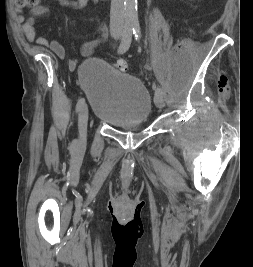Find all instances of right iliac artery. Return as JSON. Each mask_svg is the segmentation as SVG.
<instances>
[{
  "label": "right iliac artery",
  "mask_w": 253,
  "mask_h": 267,
  "mask_svg": "<svg viewBox=\"0 0 253 267\" xmlns=\"http://www.w3.org/2000/svg\"><path fill=\"white\" fill-rule=\"evenodd\" d=\"M132 34H133V29H126L123 32L122 41L118 47L119 54H123L129 49L132 41ZM84 105H85V99L80 98L76 104V111L77 112L80 111Z\"/></svg>",
  "instance_id": "right-iliac-artery-1"
}]
</instances>
